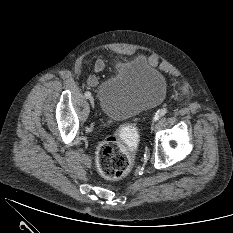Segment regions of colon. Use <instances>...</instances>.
I'll list each match as a JSON object with an SVG mask.
<instances>
[{
	"instance_id": "1",
	"label": "colon",
	"mask_w": 233,
	"mask_h": 233,
	"mask_svg": "<svg viewBox=\"0 0 233 233\" xmlns=\"http://www.w3.org/2000/svg\"><path fill=\"white\" fill-rule=\"evenodd\" d=\"M137 142L138 132L132 123L124 124L115 135L104 139L96 153V164L100 175L110 181L125 177L132 167Z\"/></svg>"
}]
</instances>
